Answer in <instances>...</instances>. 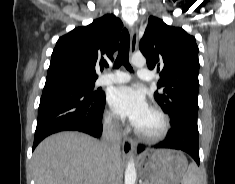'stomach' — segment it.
I'll return each mask as SVG.
<instances>
[{
	"label": "stomach",
	"instance_id": "0dacf381",
	"mask_svg": "<svg viewBox=\"0 0 235 184\" xmlns=\"http://www.w3.org/2000/svg\"><path fill=\"white\" fill-rule=\"evenodd\" d=\"M140 176L146 184H180L188 166L183 152L152 150L138 158Z\"/></svg>",
	"mask_w": 235,
	"mask_h": 184
}]
</instances>
